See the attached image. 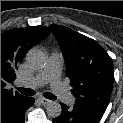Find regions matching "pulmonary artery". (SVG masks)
<instances>
[{"label": "pulmonary artery", "instance_id": "obj_1", "mask_svg": "<svg viewBox=\"0 0 123 123\" xmlns=\"http://www.w3.org/2000/svg\"><path fill=\"white\" fill-rule=\"evenodd\" d=\"M61 66V53L53 52L49 56L44 68L31 79L20 83V85L29 88H35L50 83L54 94L65 104L72 105L75 99L60 80Z\"/></svg>", "mask_w": 123, "mask_h": 123}]
</instances>
